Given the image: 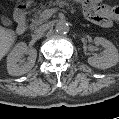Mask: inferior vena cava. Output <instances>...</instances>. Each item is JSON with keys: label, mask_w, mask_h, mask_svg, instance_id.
<instances>
[{"label": "inferior vena cava", "mask_w": 119, "mask_h": 119, "mask_svg": "<svg viewBox=\"0 0 119 119\" xmlns=\"http://www.w3.org/2000/svg\"><path fill=\"white\" fill-rule=\"evenodd\" d=\"M50 24H43L35 30V34L40 35L50 29Z\"/></svg>", "instance_id": "obj_1"}]
</instances>
